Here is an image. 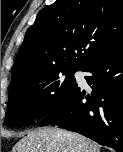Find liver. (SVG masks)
Returning a JSON list of instances; mask_svg holds the SVG:
<instances>
[{
  "label": "liver",
  "instance_id": "6515ba94",
  "mask_svg": "<svg viewBox=\"0 0 123 152\" xmlns=\"http://www.w3.org/2000/svg\"><path fill=\"white\" fill-rule=\"evenodd\" d=\"M94 141L74 132L46 127L29 131L12 152H99Z\"/></svg>",
  "mask_w": 123,
  "mask_h": 152
}]
</instances>
